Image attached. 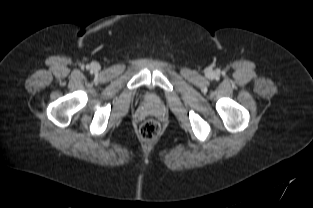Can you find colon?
<instances>
[{
  "instance_id": "1",
  "label": "colon",
  "mask_w": 313,
  "mask_h": 208,
  "mask_svg": "<svg viewBox=\"0 0 313 208\" xmlns=\"http://www.w3.org/2000/svg\"><path fill=\"white\" fill-rule=\"evenodd\" d=\"M160 131V124L153 119L144 121L139 129L140 136L145 141L155 140L159 136Z\"/></svg>"
}]
</instances>
